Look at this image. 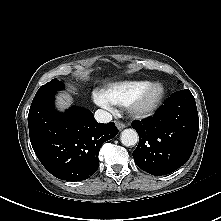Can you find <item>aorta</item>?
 <instances>
[{
  "instance_id": "aorta-1",
  "label": "aorta",
  "mask_w": 221,
  "mask_h": 221,
  "mask_svg": "<svg viewBox=\"0 0 221 221\" xmlns=\"http://www.w3.org/2000/svg\"><path fill=\"white\" fill-rule=\"evenodd\" d=\"M121 143L124 146H134L138 142V133L134 129H125L121 133Z\"/></svg>"
}]
</instances>
